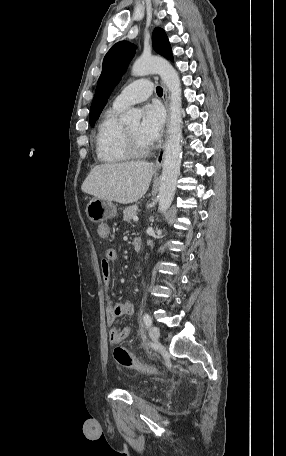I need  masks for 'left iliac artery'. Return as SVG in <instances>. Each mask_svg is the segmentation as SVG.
I'll list each match as a JSON object with an SVG mask.
<instances>
[{
  "label": "left iliac artery",
  "instance_id": "44dca946",
  "mask_svg": "<svg viewBox=\"0 0 286 456\" xmlns=\"http://www.w3.org/2000/svg\"><path fill=\"white\" fill-rule=\"evenodd\" d=\"M143 321L147 327H149L152 324V319L149 314L145 313L143 315Z\"/></svg>",
  "mask_w": 286,
  "mask_h": 456
}]
</instances>
